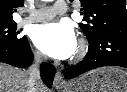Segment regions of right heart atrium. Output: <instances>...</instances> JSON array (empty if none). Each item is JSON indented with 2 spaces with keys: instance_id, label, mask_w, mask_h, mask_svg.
<instances>
[{
  "instance_id": "obj_1",
  "label": "right heart atrium",
  "mask_w": 127,
  "mask_h": 92,
  "mask_svg": "<svg viewBox=\"0 0 127 92\" xmlns=\"http://www.w3.org/2000/svg\"><path fill=\"white\" fill-rule=\"evenodd\" d=\"M33 57L37 61H42L43 60V55L38 50L33 51Z\"/></svg>"
}]
</instances>
